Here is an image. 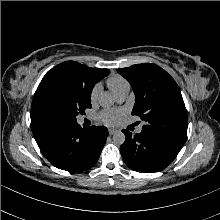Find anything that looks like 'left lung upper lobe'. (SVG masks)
I'll use <instances>...</instances> for the list:
<instances>
[{
  "label": "left lung upper lobe",
  "instance_id": "5c2ea615",
  "mask_svg": "<svg viewBox=\"0 0 220 220\" xmlns=\"http://www.w3.org/2000/svg\"><path fill=\"white\" fill-rule=\"evenodd\" d=\"M117 71L134 90L132 115L145 121L142 131L182 147L187 135V111L174 79L161 67L149 63Z\"/></svg>",
  "mask_w": 220,
  "mask_h": 220
}]
</instances>
